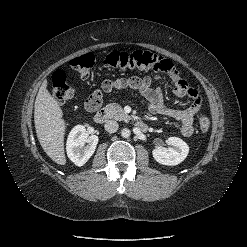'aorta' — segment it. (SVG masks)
Wrapping results in <instances>:
<instances>
[{"label":"aorta","instance_id":"obj_1","mask_svg":"<svg viewBox=\"0 0 247 247\" xmlns=\"http://www.w3.org/2000/svg\"><path fill=\"white\" fill-rule=\"evenodd\" d=\"M130 134H131V131L127 128H124L121 130V136L123 138H128L130 136Z\"/></svg>","mask_w":247,"mask_h":247}]
</instances>
